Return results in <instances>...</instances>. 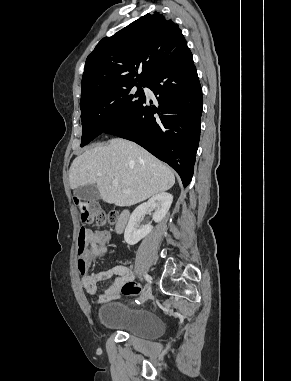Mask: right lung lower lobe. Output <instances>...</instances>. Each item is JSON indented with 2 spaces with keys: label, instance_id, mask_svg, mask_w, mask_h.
I'll use <instances>...</instances> for the list:
<instances>
[{
  "label": "right lung lower lobe",
  "instance_id": "1",
  "mask_svg": "<svg viewBox=\"0 0 291 381\" xmlns=\"http://www.w3.org/2000/svg\"><path fill=\"white\" fill-rule=\"evenodd\" d=\"M157 102L144 98L129 117L104 133L136 142L169 164L186 187L193 175L201 128L203 97L189 48L147 83ZM150 103V104H149Z\"/></svg>",
  "mask_w": 291,
  "mask_h": 381
}]
</instances>
